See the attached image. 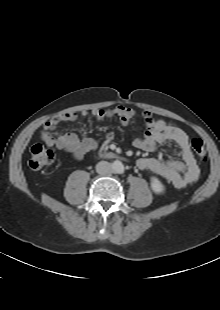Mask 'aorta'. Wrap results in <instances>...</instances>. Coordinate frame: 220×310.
I'll use <instances>...</instances> for the list:
<instances>
[{"instance_id": "1", "label": "aorta", "mask_w": 220, "mask_h": 310, "mask_svg": "<svg viewBox=\"0 0 220 310\" xmlns=\"http://www.w3.org/2000/svg\"><path fill=\"white\" fill-rule=\"evenodd\" d=\"M112 169H113L114 172L120 173L123 170V165H122V163L120 161H115L112 164Z\"/></svg>"}]
</instances>
